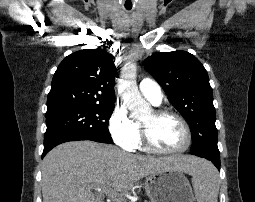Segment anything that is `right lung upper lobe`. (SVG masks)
Masks as SVG:
<instances>
[{"instance_id": "right-lung-upper-lobe-1", "label": "right lung upper lobe", "mask_w": 255, "mask_h": 202, "mask_svg": "<svg viewBox=\"0 0 255 202\" xmlns=\"http://www.w3.org/2000/svg\"><path fill=\"white\" fill-rule=\"evenodd\" d=\"M115 75L111 56L101 48L68 55L53 76L46 114L82 105L114 104Z\"/></svg>"}]
</instances>
